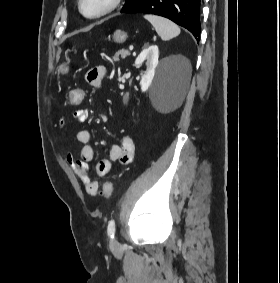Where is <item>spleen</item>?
Returning a JSON list of instances; mask_svg holds the SVG:
<instances>
[{"label":"spleen","instance_id":"3e777b00","mask_svg":"<svg viewBox=\"0 0 280 283\" xmlns=\"http://www.w3.org/2000/svg\"><path fill=\"white\" fill-rule=\"evenodd\" d=\"M155 28L158 35L163 41L170 40L180 34V28L174 22L157 15H144Z\"/></svg>","mask_w":280,"mask_h":283}]
</instances>
